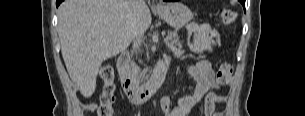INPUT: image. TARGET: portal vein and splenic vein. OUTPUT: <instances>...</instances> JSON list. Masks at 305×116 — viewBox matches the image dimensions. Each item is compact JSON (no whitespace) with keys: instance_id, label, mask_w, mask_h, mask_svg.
Returning a JSON list of instances; mask_svg holds the SVG:
<instances>
[{"instance_id":"obj_1","label":"portal vein and splenic vein","mask_w":305,"mask_h":116,"mask_svg":"<svg viewBox=\"0 0 305 116\" xmlns=\"http://www.w3.org/2000/svg\"><path fill=\"white\" fill-rule=\"evenodd\" d=\"M169 40H171V37H170V36H167V37L165 38V41H169Z\"/></svg>"}]
</instances>
